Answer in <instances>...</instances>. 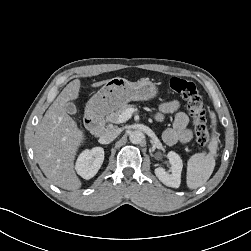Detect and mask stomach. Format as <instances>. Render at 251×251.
Returning a JSON list of instances; mask_svg holds the SVG:
<instances>
[{"label": "stomach", "mask_w": 251, "mask_h": 251, "mask_svg": "<svg viewBox=\"0 0 251 251\" xmlns=\"http://www.w3.org/2000/svg\"><path fill=\"white\" fill-rule=\"evenodd\" d=\"M159 93L157 84L149 78L130 82L124 78H112L88 101L86 112L103 115L130 101H147Z\"/></svg>", "instance_id": "stomach-1"}]
</instances>
